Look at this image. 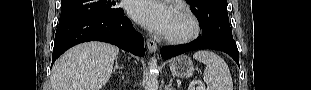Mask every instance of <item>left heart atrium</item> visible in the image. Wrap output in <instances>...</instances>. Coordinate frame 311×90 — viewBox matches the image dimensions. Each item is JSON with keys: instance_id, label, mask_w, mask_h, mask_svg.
Segmentation results:
<instances>
[{"instance_id": "left-heart-atrium-1", "label": "left heart atrium", "mask_w": 311, "mask_h": 90, "mask_svg": "<svg viewBox=\"0 0 311 90\" xmlns=\"http://www.w3.org/2000/svg\"><path fill=\"white\" fill-rule=\"evenodd\" d=\"M129 14L146 29L165 34L172 20L173 10L162 1L133 0Z\"/></svg>"}]
</instances>
